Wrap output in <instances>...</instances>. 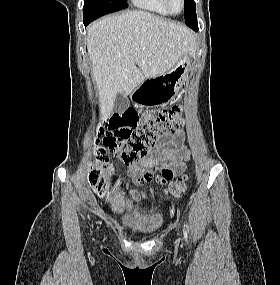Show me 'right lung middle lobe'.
Segmentation results:
<instances>
[{"instance_id":"1","label":"right lung middle lobe","mask_w":280,"mask_h":285,"mask_svg":"<svg viewBox=\"0 0 280 285\" xmlns=\"http://www.w3.org/2000/svg\"><path fill=\"white\" fill-rule=\"evenodd\" d=\"M127 7L126 0H85L83 7V20H93L111 12Z\"/></svg>"}]
</instances>
